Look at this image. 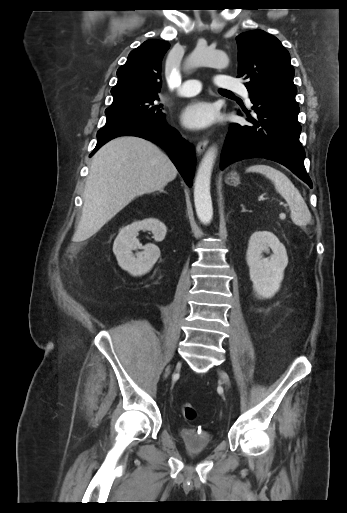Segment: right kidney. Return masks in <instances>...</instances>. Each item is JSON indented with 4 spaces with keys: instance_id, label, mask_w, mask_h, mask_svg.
I'll use <instances>...</instances> for the list:
<instances>
[{
    "instance_id": "obj_1",
    "label": "right kidney",
    "mask_w": 347,
    "mask_h": 513,
    "mask_svg": "<svg viewBox=\"0 0 347 513\" xmlns=\"http://www.w3.org/2000/svg\"><path fill=\"white\" fill-rule=\"evenodd\" d=\"M140 230L153 233L155 241L161 242L166 235V226L158 219L148 218L135 221L122 228L113 244V253L119 266L133 276H140L150 271L160 257L159 248L152 243L142 246L136 238ZM142 249L136 255L132 250Z\"/></svg>"
}]
</instances>
